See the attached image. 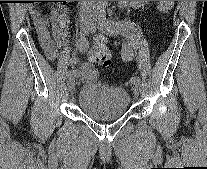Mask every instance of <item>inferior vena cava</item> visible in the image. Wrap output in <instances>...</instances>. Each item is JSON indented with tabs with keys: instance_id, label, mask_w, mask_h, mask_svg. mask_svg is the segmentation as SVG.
I'll use <instances>...</instances> for the list:
<instances>
[{
	"instance_id": "1",
	"label": "inferior vena cava",
	"mask_w": 207,
	"mask_h": 169,
	"mask_svg": "<svg viewBox=\"0 0 207 169\" xmlns=\"http://www.w3.org/2000/svg\"><path fill=\"white\" fill-rule=\"evenodd\" d=\"M83 2H88V3H95V1H83Z\"/></svg>"
}]
</instances>
